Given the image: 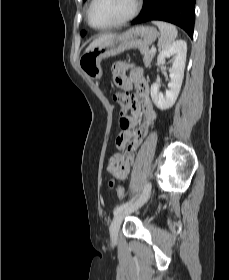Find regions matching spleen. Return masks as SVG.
<instances>
[{
  "label": "spleen",
  "mask_w": 229,
  "mask_h": 280,
  "mask_svg": "<svg viewBox=\"0 0 229 280\" xmlns=\"http://www.w3.org/2000/svg\"><path fill=\"white\" fill-rule=\"evenodd\" d=\"M152 23L155 24L161 32V37L158 41V47L161 49L169 47L177 37L176 27L170 23L162 21H153Z\"/></svg>",
  "instance_id": "3e777b00"
}]
</instances>
